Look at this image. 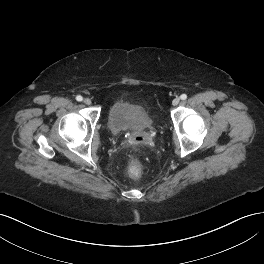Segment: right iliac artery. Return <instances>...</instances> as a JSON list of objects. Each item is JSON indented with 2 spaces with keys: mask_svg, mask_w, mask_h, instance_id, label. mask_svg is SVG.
Segmentation results:
<instances>
[{
  "mask_svg": "<svg viewBox=\"0 0 264 264\" xmlns=\"http://www.w3.org/2000/svg\"><path fill=\"white\" fill-rule=\"evenodd\" d=\"M76 100H77V101H82L83 98H82V96L78 95V96L76 97Z\"/></svg>",
  "mask_w": 264,
  "mask_h": 264,
  "instance_id": "1",
  "label": "right iliac artery"
}]
</instances>
